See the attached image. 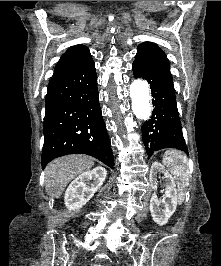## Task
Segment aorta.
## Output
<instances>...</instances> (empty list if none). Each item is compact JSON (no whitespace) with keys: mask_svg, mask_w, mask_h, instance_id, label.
<instances>
[{"mask_svg":"<svg viewBox=\"0 0 221 266\" xmlns=\"http://www.w3.org/2000/svg\"><path fill=\"white\" fill-rule=\"evenodd\" d=\"M132 100V111L139 119L146 120L151 115L150 91L146 81L134 80L129 88Z\"/></svg>","mask_w":221,"mask_h":266,"instance_id":"1","label":"aorta"}]
</instances>
